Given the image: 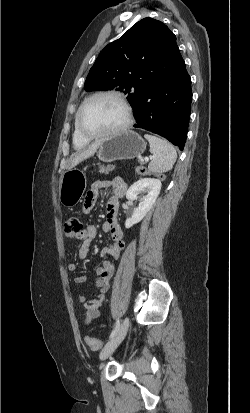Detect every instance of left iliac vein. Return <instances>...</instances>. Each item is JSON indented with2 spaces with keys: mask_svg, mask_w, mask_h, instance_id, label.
Segmentation results:
<instances>
[{
  "mask_svg": "<svg viewBox=\"0 0 250 413\" xmlns=\"http://www.w3.org/2000/svg\"><path fill=\"white\" fill-rule=\"evenodd\" d=\"M129 328V318H125L116 334L107 342L100 352V359L108 358L125 338Z\"/></svg>",
  "mask_w": 250,
  "mask_h": 413,
  "instance_id": "4c4485c4",
  "label": "left iliac vein"
}]
</instances>
